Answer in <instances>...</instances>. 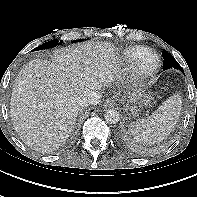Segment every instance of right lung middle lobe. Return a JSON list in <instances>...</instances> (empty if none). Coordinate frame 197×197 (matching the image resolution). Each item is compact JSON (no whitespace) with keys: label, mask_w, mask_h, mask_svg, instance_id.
<instances>
[{"label":"right lung middle lobe","mask_w":197,"mask_h":197,"mask_svg":"<svg viewBox=\"0 0 197 197\" xmlns=\"http://www.w3.org/2000/svg\"><path fill=\"white\" fill-rule=\"evenodd\" d=\"M79 41V40H78ZM82 41V40H81ZM62 43V41H61ZM60 43L58 42V40H51L49 42H46L40 46H38L37 48H35L33 51H36V50H43V49H49V48H53L57 45H59Z\"/></svg>","instance_id":"dd1d6c3e"}]
</instances>
